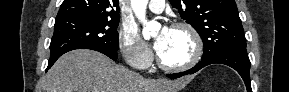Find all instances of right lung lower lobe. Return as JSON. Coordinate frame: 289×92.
<instances>
[{"mask_svg": "<svg viewBox=\"0 0 289 92\" xmlns=\"http://www.w3.org/2000/svg\"><path fill=\"white\" fill-rule=\"evenodd\" d=\"M87 49L99 51V52L107 55L108 57H110L112 60H116V59L118 58L117 51H112V50H109V49L99 48V47H92V48H87ZM59 57H60V56H59ZM59 57L49 59V62H48V66H47L46 71L52 67V65L55 63V61H56Z\"/></svg>", "mask_w": 289, "mask_h": 92, "instance_id": "1", "label": "right lung lower lobe"}]
</instances>
